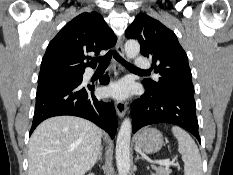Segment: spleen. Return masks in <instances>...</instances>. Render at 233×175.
Segmentation results:
<instances>
[{
    "mask_svg": "<svg viewBox=\"0 0 233 175\" xmlns=\"http://www.w3.org/2000/svg\"><path fill=\"white\" fill-rule=\"evenodd\" d=\"M172 132L178 141V151L184 162L185 175H203L201 156L195 141L177 126L172 127Z\"/></svg>",
    "mask_w": 233,
    "mask_h": 175,
    "instance_id": "3e777b00",
    "label": "spleen"
}]
</instances>
